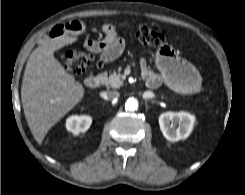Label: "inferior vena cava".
Returning <instances> with one entry per match:
<instances>
[{
  "instance_id": "602c4592",
  "label": "inferior vena cava",
  "mask_w": 245,
  "mask_h": 195,
  "mask_svg": "<svg viewBox=\"0 0 245 195\" xmlns=\"http://www.w3.org/2000/svg\"><path fill=\"white\" fill-rule=\"evenodd\" d=\"M100 96L105 100H113L118 98L120 94L117 91H106V92H101Z\"/></svg>"
}]
</instances>
